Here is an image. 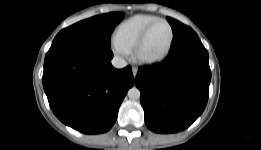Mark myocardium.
Wrapping results in <instances>:
<instances>
[{
	"label": "myocardium",
	"instance_id": "myocardium-1",
	"mask_svg": "<svg viewBox=\"0 0 261 150\" xmlns=\"http://www.w3.org/2000/svg\"><path fill=\"white\" fill-rule=\"evenodd\" d=\"M161 22L167 24V26L169 27V30H170V37H169V41H168L167 47H166L165 51L161 55H159V56H156V57H145L142 54V48L144 46V43H145V41H146L150 31L152 30V28L156 24L161 23ZM173 42H174V29H173V26L171 25V23L168 20L163 19V18H158L157 20H155L152 23H150L142 31V33L140 34V36H139L138 40L136 41L135 46L133 48L134 59L138 63L143 64V65H155V64H158V63L164 61L168 57V55L170 54V51L172 49Z\"/></svg>",
	"mask_w": 261,
	"mask_h": 150
}]
</instances>
